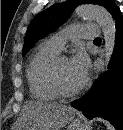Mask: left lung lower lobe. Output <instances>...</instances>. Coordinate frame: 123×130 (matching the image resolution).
Masks as SVG:
<instances>
[{"label":"left lung lower lobe","instance_id":"obj_1","mask_svg":"<svg viewBox=\"0 0 123 130\" xmlns=\"http://www.w3.org/2000/svg\"><path fill=\"white\" fill-rule=\"evenodd\" d=\"M116 39L109 70L95 80L89 92L71 105L88 118L102 117L123 130V15L113 14Z\"/></svg>","mask_w":123,"mask_h":130}]
</instances>
